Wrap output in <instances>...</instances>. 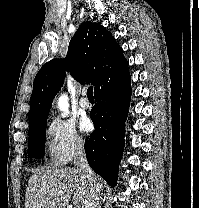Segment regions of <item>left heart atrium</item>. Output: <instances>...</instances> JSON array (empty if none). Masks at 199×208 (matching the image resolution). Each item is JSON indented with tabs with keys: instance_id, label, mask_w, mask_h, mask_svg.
<instances>
[{
	"instance_id": "1",
	"label": "left heart atrium",
	"mask_w": 199,
	"mask_h": 208,
	"mask_svg": "<svg viewBox=\"0 0 199 208\" xmlns=\"http://www.w3.org/2000/svg\"><path fill=\"white\" fill-rule=\"evenodd\" d=\"M80 129L85 132V133H89L92 131L93 129V124L91 122V120L87 117V116H83L80 119Z\"/></svg>"
}]
</instances>
